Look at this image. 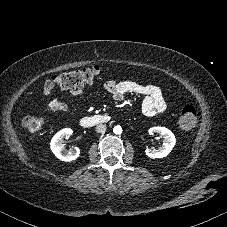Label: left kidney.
Listing matches in <instances>:
<instances>
[{
	"label": "left kidney",
	"mask_w": 227,
	"mask_h": 227,
	"mask_svg": "<svg viewBox=\"0 0 227 227\" xmlns=\"http://www.w3.org/2000/svg\"><path fill=\"white\" fill-rule=\"evenodd\" d=\"M149 133L150 134L157 133V134L162 135L163 143H162V147H160L157 150L147 148L145 150L146 155L150 158L166 157L171 152V150L173 149V147L175 146V143H176V139H175V136L172 133V131H170L169 129H167L165 127L157 126V127L150 128Z\"/></svg>",
	"instance_id": "5707ae66"
}]
</instances>
